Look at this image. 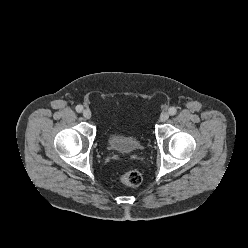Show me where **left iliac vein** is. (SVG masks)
Segmentation results:
<instances>
[{
    "instance_id": "4c4485c4",
    "label": "left iliac vein",
    "mask_w": 248,
    "mask_h": 248,
    "mask_svg": "<svg viewBox=\"0 0 248 248\" xmlns=\"http://www.w3.org/2000/svg\"><path fill=\"white\" fill-rule=\"evenodd\" d=\"M168 118H169L168 112L161 113V115H160V121L161 122H166L168 120Z\"/></svg>"
}]
</instances>
